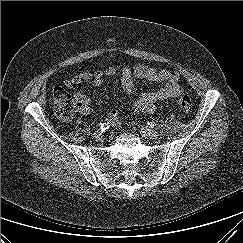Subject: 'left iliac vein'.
Instances as JSON below:
<instances>
[{
  "mask_svg": "<svg viewBox=\"0 0 243 243\" xmlns=\"http://www.w3.org/2000/svg\"><path fill=\"white\" fill-rule=\"evenodd\" d=\"M140 132L144 137L152 140H156L159 137V133L157 131L148 128H141Z\"/></svg>",
  "mask_w": 243,
  "mask_h": 243,
  "instance_id": "left-iliac-vein-1",
  "label": "left iliac vein"
}]
</instances>
